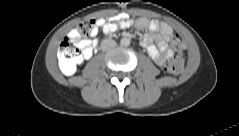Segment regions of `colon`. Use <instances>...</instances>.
<instances>
[{
  "mask_svg": "<svg viewBox=\"0 0 239 136\" xmlns=\"http://www.w3.org/2000/svg\"><path fill=\"white\" fill-rule=\"evenodd\" d=\"M96 28V21L94 19H87L81 21L76 26V33L80 37H89L93 34ZM172 48L175 56L165 64L166 73L176 76L183 70L182 52L184 43L178 36L172 39ZM59 67L66 74H71L75 71L77 65L81 61V53L78 45L67 37L59 46L58 49Z\"/></svg>",
  "mask_w": 239,
  "mask_h": 136,
  "instance_id": "colon-1",
  "label": "colon"
}]
</instances>
